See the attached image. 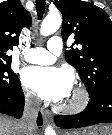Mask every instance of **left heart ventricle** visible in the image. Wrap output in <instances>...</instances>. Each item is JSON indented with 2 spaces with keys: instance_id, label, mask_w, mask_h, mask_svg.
I'll return each mask as SVG.
<instances>
[{
  "instance_id": "1",
  "label": "left heart ventricle",
  "mask_w": 112,
  "mask_h": 135,
  "mask_svg": "<svg viewBox=\"0 0 112 135\" xmlns=\"http://www.w3.org/2000/svg\"><path fill=\"white\" fill-rule=\"evenodd\" d=\"M77 101V96L74 93V91H71V93L69 94V96L62 101V104H66V105H70L73 104Z\"/></svg>"
}]
</instances>
